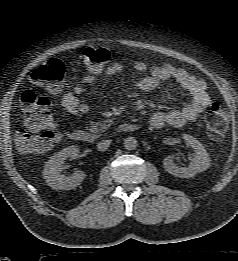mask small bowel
<instances>
[{"label":"small bowel","instance_id":"small-bowel-1","mask_svg":"<svg viewBox=\"0 0 238 261\" xmlns=\"http://www.w3.org/2000/svg\"><path fill=\"white\" fill-rule=\"evenodd\" d=\"M133 68L139 73L149 70V74L141 78L137 83V87L141 91H152L164 81L173 79L185 89L190 96V102L181 109L154 113L150 118V124L154 128L159 129L164 126L182 127L186 123L194 121L210 104V96L207 92L206 83L182 68H177L170 64L148 67V65L142 61L134 63ZM123 69V64L112 62L106 67L105 73L108 76H113L120 73ZM95 79L96 76L93 73L87 74L74 87L73 91L64 94L61 102L64 115L82 117L89 112V105L83 102L79 95L82 94L86 87L93 83Z\"/></svg>","mask_w":238,"mask_h":261}]
</instances>
